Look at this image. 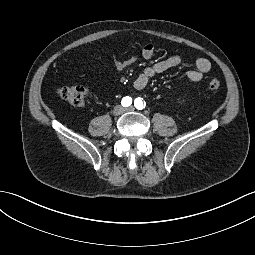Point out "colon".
<instances>
[{"label":"colon","mask_w":255,"mask_h":255,"mask_svg":"<svg viewBox=\"0 0 255 255\" xmlns=\"http://www.w3.org/2000/svg\"><path fill=\"white\" fill-rule=\"evenodd\" d=\"M220 81L211 79L208 82L209 90L216 92L220 88ZM58 95L66 102L74 106H82L86 101L87 88L82 85L64 86L58 89Z\"/></svg>","instance_id":"1"}]
</instances>
